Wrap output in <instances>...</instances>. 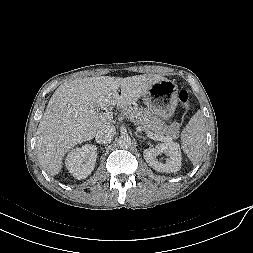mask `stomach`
Instances as JSON below:
<instances>
[{"label": "stomach", "mask_w": 253, "mask_h": 253, "mask_svg": "<svg viewBox=\"0 0 253 253\" xmlns=\"http://www.w3.org/2000/svg\"><path fill=\"white\" fill-rule=\"evenodd\" d=\"M178 86L169 79L158 81L143 96L148 109L162 120H169L177 106Z\"/></svg>", "instance_id": "stomach-1"}]
</instances>
